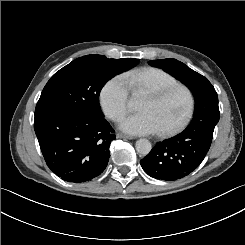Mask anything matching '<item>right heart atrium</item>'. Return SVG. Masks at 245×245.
<instances>
[{"label": "right heart atrium", "instance_id": "1", "mask_svg": "<svg viewBox=\"0 0 245 245\" xmlns=\"http://www.w3.org/2000/svg\"><path fill=\"white\" fill-rule=\"evenodd\" d=\"M129 87L120 77L109 79L100 91V104L105 114L113 121H119L127 112Z\"/></svg>", "mask_w": 245, "mask_h": 245}]
</instances>
